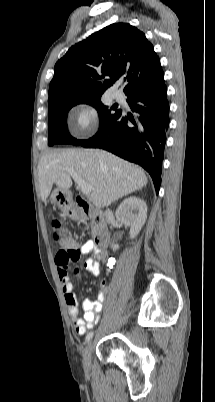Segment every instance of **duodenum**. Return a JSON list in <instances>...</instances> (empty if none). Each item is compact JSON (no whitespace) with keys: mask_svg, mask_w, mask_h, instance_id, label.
Wrapping results in <instances>:
<instances>
[{"mask_svg":"<svg viewBox=\"0 0 215 402\" xmlns=\"http://www.w3.org/2000/svg\"><path fill=\"white\" fill-rule=\"evenodd\" d=\"M69 213L75 220H92L95 224V242L105 247L110 242V233L107 229L104 215L93 208L85 199L75 198L73 204L69 207Z\"/></svg>","mask_w":215,"mask_h":402,"instance_id":"duodenum-1","label":"duodenum"}]
</instances>
